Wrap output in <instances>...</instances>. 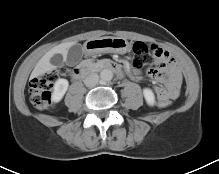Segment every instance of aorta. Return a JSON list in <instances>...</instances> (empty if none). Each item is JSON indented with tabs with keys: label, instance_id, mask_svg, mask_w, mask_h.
<instances>
[{
	"label": "aorta",
	"instance_id": "aorta-1",
	"mask_svg": "<svg viewBox=\"0 0 219 174\" xmlns=\"http://www.w3.org/2000/svg\"><path fill=\"white\" fill-rule=\"evenodd\" d=\"M100 78L102 81H110L113 78V72L110 69H104L100 72Z\"/></svg>",
	"mask_w": 219,
	"mask_h": 174
}]
</instances>
